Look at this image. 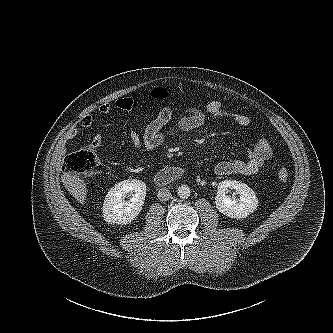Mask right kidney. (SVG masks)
Masks as SVG:
<instances>
[{
    "label": "right kidney",
    "instance_id": "1",
    "mask_svg": "<svg viewBox=\"0 0 333 333\" xmlns=\"http://www.w3.org/2000/svg\"><path fill=\"white\" fill-rule=\"evenodd\" d=\"M132 196L125 200L126 196ZM146 196V184L140 180L128 179L117 183L105 197L103 218L107 223L126 225L141 212Z\"/></svg>",
    "mask_w": 333,
    "mask_h": 333
}]
</instances>
